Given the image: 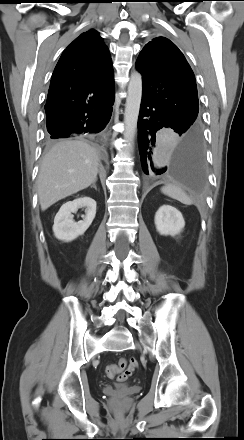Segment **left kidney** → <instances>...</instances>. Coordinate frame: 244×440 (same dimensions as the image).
<instances>
[{
  "label": "left kidney",
  "instance_id": "5707ae66",
  "mask_svg": "<svg viewBox=\"0 0 244 440\" xmlns=\"http://www.w3.org/2000/svg\"><path fill=\"white\" fill-rule=\"evenodd\" d=\"M155 225L160 235H178L185 226L180 211L170 205L161 206L155 214Z\"/></svg>",
  "mask_w": 244,
  "mask_h": 440
}]
</instances>
